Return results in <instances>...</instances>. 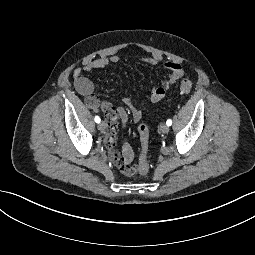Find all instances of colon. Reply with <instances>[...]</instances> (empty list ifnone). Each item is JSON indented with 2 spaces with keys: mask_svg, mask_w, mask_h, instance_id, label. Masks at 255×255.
<instances>
[{
  "mask_svg": "<svg viewBox=\"0 0 255 255\" xmlns=\"http://www.w3.org/2000/svg\"><path fill=\"white\" fill-rule=\"evenodd\" d=\"M192 82L190 80H183L181 81L179 85V89L182 93H188L192 89ZM149 125L147 124H142L139 127V137H140V157H139V162H138V172L141 175H145L148 172V165L146 162V153L148 150L149 146Z\"/></svg>",
  "mask_w": 255,
  "mask_h": 255,
  "instance_id": "colon-1",
  "label": "colon"
}]
</instances>
